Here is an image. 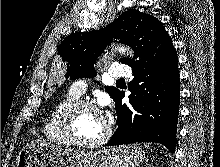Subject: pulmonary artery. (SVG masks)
<instances>
[{
    "label": "pulmonary artery",
    "instance_id": "pulmonary-artery-1",
    "mask_svg": "<svg viewBox=\"0 0 220 167\" xmlns=\"http://www.w3.org/2000/svg\"><path fill=\"white\" fill-rule=\"evenodd\" d=\"M131 74V69L128 65L125 64H115L112 65L109 69V76L112 78H122V77H128ZM87 88V84L83 80H79L75 82L71 88V91L77 95H82Z\"/></svg>",
    "mask_w": 220,
    "mask_h": 167
}]
</instances>
